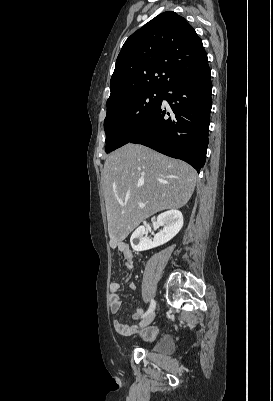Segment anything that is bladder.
<instances>
[{
  "instance_id": "obj_1",
  "label": "bladder",
  "mask_w": 273,
  "mask_h": 401,
  "mask_svg": "<svg viewBox=\"0 0 273 401\" xmlns=\"http://www.w3.org/2000/svg\"><path fill=\"white\" fill-rule=\"evenodd\" d=\"M175 350V341L172 336L164 335L154 348V351L161 355L170 354Z\"/></svg>"
}]
</instances>
